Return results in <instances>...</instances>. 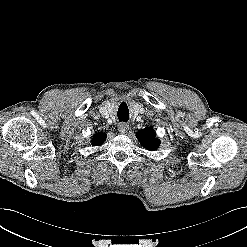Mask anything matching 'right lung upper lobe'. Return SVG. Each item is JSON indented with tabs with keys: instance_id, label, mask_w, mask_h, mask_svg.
Listing matches in <instances>:
<instances>
[{
	"instance_id": "obj_1",
	"label": "right lung upper lobe",
	"mask_w": 247,
	"mask_h": 247,
	"mask_svg": "<svg viewBox=\"0 0 247 247\" xmlns=\"http://www.w3.org/2000/svg\"><path fill=\"white\" fill-rule=\"evenodd\" d=\"M105 134L103 132H100V133H97L94 137H93V141H92V144L94 146H99L101 145L104 140H105Z\"/></svg>"
}]
</instances>
